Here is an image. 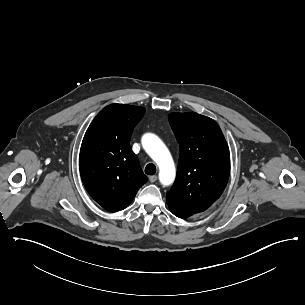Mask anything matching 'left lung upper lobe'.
<instances>
[{
    "label": "left lung upper lobe",
    "instance_id": "obj_1",
    "mask_svg": "<svg viewBox=\"0 0 305 305\" xmlns=\"http://www.w3.org/2000/svg\"><path fill=\"white\" fill-rule=\"evenodd\" d=\"M180 144L176 180L166 195L169 207L191 215L210 207L225 189L230 172L229 148L219 125L197 114L170 113Z\"/></svg>",
    "mask_w": 305,
    "mask_h": 305
}]
</instances>
